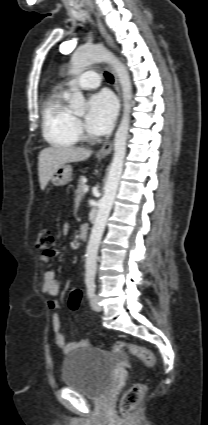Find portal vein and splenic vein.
I'll use <instances>...</instances> for the list:
<instances>
[{
    "mask_svg": "<svg viewBox=\"0 0 208 425\" xmlns=\"http://www.w3.org/2000/svg\"><path fill=\"white\" fill-rule=\"evenodd\" d=\"M83 191H84V192H88V191H89V187H88L87 185H85V186L83 187Z\"/></svg>",
    "mask_w": 208,
    "mask_h": 425,
    "instance_id": "18ae733b",
    "label": "portal vein and splenic vein"
}]
</instances>
